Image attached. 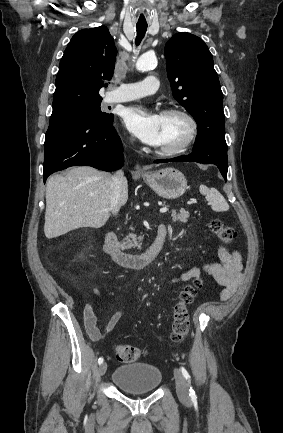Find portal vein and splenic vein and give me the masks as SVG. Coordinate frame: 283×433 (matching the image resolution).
<instances>
[{
  "label": "portal vein and splenic vein",
  "mask_w": 283,
  "mask_h": 433,
  "mask_svg": "<svg viewBox=\"0 0 283 433\" xmlns=\"http://www.w3.org/2000/svg\"><path fill=\"white\" fill-rule=\"evenodd\" d=\"M167 210H169L167 206H163V208H160V212H167Z\"/></svg>",
  "instance_id": "1"
}]
</instances>
